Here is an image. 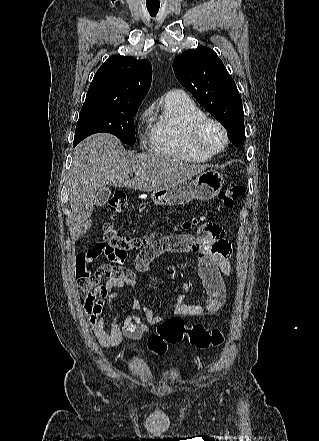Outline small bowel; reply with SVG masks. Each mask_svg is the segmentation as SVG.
<instances>
[{"label":"small bowel","mask_w":319,"mask_h":441,"mask_svg":"<svg viewBox=\"0 0 319 441\" xmlns=\"http://www.w3.org/2000/svg\"><path fill=\"white\" fill-rule=\"evenodd\" d=\"M197 254V270L206 291L207 298L204 305L186 302V296L181 294L176 299L174 314L179 317H196L217 312L226 299V287L222 277L231 276L232 246L225 238L224 229L216 223L203 225L197 236L182 234L162 238L146 246L135 258L134 268L123 267L119 263L105 264L91 272L88 288L80 285L79 298L86 313L91 330L103 347L119 345L124 339L138 341L149 332V325H155L164 320L156 315L149 307L134 297L131 308L134 311H143L146 322L138 315H129L123 323L122 329L118 326L119 314L112 316L110 328L105 329V318L108 308L117 298L119 290L124 287L134 288L138 273L147 272L153 262L164 253ZM101 253H104L102 244L94 246L87 252L79 253L76 257L77 266L88 264ZM105 280V282H102ZM187 292L191 289L188 282L182 284Z\"/></svg>","instance_id":"c3829d8e"}]
</instances>
